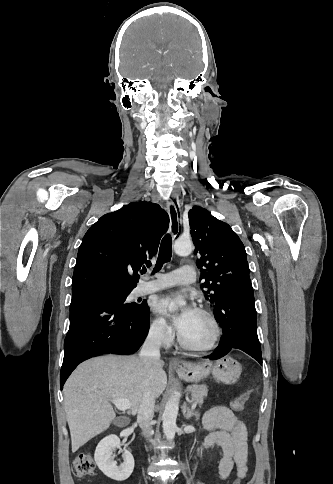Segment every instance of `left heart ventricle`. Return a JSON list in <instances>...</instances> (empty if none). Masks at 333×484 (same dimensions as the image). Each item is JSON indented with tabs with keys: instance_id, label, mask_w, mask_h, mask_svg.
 I'll use <instances>...</instances> for the list:
<instances>
[{
	"instance_id": "obj_1",
	"label": "left heart ventricle",
	"mask_w": 333,
	"mask_h": 484,
	"mask_svg": "<svg viewBox=\"0 0 333 484\" xmlns=\"http://www.w3.org/2000/svg\"><path fill=\"white\" fill-rule=\"evenodd\" d=\"M179 333L187 343L205 346L210 342L214 330L207 317L194 311Z\"/></svg>"
}]
</instances>
